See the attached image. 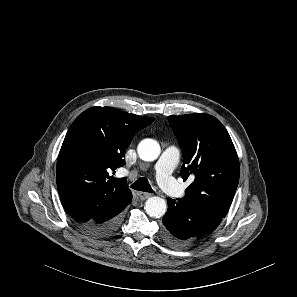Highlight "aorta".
Listing matches in <instances>:
<instances>
[{
  "instance_id": "obj_1",
  "label": "aorta",
  "mask_w": 297,
  "mask_h": 297,
  "mask_svg": "<svg viewBox=\"0 0 297 297\" xmlns=\"http://www.w3.org/2000/svg\"><path fill=\"white\" fill-rule=\"evenodd\" d=\"M137 152L142 160L154 161L159 156L160 147L156 141L144 139L139 143ZM144 209L150 217L159 218L166 213V201L158 196L150 197L146 201Z\"/></svg>"
}]
</instances>
